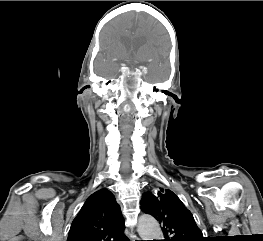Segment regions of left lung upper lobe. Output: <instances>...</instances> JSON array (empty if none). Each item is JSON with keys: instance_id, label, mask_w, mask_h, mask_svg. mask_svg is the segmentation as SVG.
<instances>
[{"instance_id": "1", "label": "left lung upper lobe", "mask_w": 263, "mask_h": 241, "mask_svg": "<svg viewBox=\"0 0 263 241\" xmlns=\"http://www.w3.org/2000/svg\"><path fill=\"white\" fill-rule=\"evenodd\" d=\"M141 209L162 224L165 241H204L193 215L171 190L148 191L142 197Z\"/></svg>"}]
</instances>
